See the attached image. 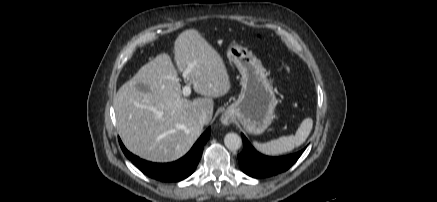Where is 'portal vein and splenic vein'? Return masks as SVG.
<instances>
[{
  "mask_svg": "<svg viewBox=\"0 0 437 202\" xmlns=\"http://www.w3.org/2000/svg\"><path fill=\"white\" fill-rule=\"evenodd\" d=\"M189 71L188 70H186L184 73H183V77H185L186 75H187V73H188ZM183 95L186 97V96H189L190 94H191V87H190V85H185L184 87H183Z\"/></svg>",
  "mask_w": 437,
  "mask_h": 202,
  "instance_id": "obj_1",
  "label": "portal vein and splenic vein"
}]
</instances>
